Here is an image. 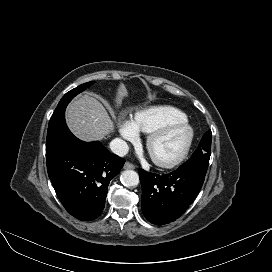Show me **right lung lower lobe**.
<instances>
[{
    "label": "right lung lower lobe",
    "mask_w": 272,
    "mask_h": 272,
    "mask_svg": "<svg viewBox=\"0 0 272 272\" xmlns=\"http://www.w3.org/2000/svg\"><path fill=\"white\" fill-rule=\"evenodd\" d=\"M48 176L65 209L81 221L101 215L110 180L124 160L109 152L99 141L83 142L67 125L46 143Z\"/></svg>",
    "instance_id": "1"
}]
</instances>
